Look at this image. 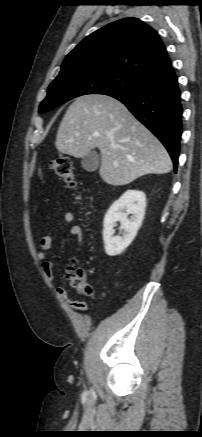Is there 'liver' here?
Instances as JSON below:
<instances>
[{
	"label": "liver",
	"instance_id": "obj_1",
	"mask_svg": "<svg viewBox=\"0 0 202 437\" xmlns=\"http://www.w3.org/2000/svg\"><path fill=\"white\" fill-rule=\"evenodd\" d=\"M55 145L59 152L76 158L99 148V174L113 186L172 169L171 158L161 142L125 105L106 95L78 97L60 123Z\"/></svg>",
	"mask_w": 202,
	"mask_h": 437
}]
</instances>
